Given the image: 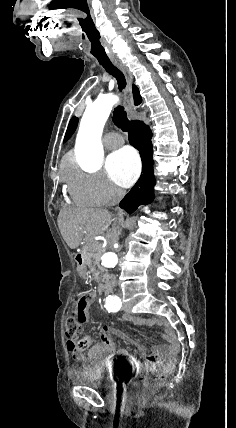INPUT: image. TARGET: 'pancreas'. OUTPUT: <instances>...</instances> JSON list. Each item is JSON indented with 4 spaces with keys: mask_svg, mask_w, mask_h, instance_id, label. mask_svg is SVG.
Returning <instances> with one entry per match:
<instances>
[{
    "mask_svg": "<svg viewBox=\"0 0 236 428\" xmlns=\"http://www.w3.org/2000/svg\"><path fill=\"white\" fill-rule=\"evenodd\" d=\"M82 254H84L85 262L88 266H92V264L98 266L102 256V252H98L97 254V250H94L93 244H86L83 248Z\"/></svg>",
    "mask_w": 236,
    "mask_h": 428,
    "instance_id": "pancreas-1",
    "label": "pancreas"
}]
</instances>
